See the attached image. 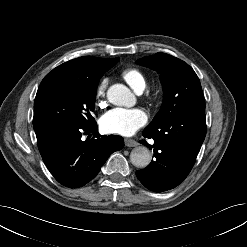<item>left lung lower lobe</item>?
Listing matches in <instances>:
<instances>
[{
    "label": "left lung lower lobe",
    "mask_w": 247,
    "mask_h": 247,
    "mask_svg": "<svg viewBox=\"0 0 247 247\" xmlns=\"http://www.w3.org/2000/svg\"><path fill=\"white\" fill-rule=\"evenodd\" d=\"M143 136L154 160L136 171L137 178L151 191L163 192L178 186L191 171L206 135L205 113L176 115L155 128H145Z\"/></svg>",
    "instance_id": "obj_1"
}]
</instances>
